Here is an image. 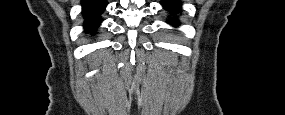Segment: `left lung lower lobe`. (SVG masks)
<instances>
[{
  "label": "left lung lower lobe",
  "instance_id": "left-lung-lower-lobe-1",
  "mask_svg": "<svg viewBox=\"0 0 285 115\" xmlns=\"http://www.w3.org/2000/svg\"><path fill=\"white\" fill-rule=\"evenodd\" d=\"M163 8L169 12V22L173 26H178L180 23L177 19V13L181 12V3L178 1H162Z\"/></svg>",
  "mask_w": 285,
  "mask_h": 115
}]
</instances>
